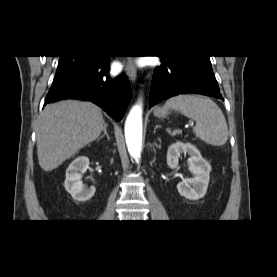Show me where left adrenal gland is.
<instances>
[{"mask_svg": "<svg viewBox=\"0 0 277 277\" xmlns=\"http://www.w3.org/2000/svg\"><path fill=\"white\" fill-rule=\"evenodd\" d=\"M158 128H160V126H159V125H156L155 128H154V134H155V132H156V130H157Z\"/></svg>", "mask_w": 277, "mask_h": 277, "instance_id": "left-adrenal-gland-1", "label": "left adrenal gland"}]
</instances>
